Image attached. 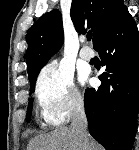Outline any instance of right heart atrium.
<instances>
[{"label":"right heart atrium","instance_id":"1","mask_svg":"<svg viewBox=\"0 0 139 150\" xmlns=\"http://www.w3.org/2000/svg\"><path fill=\"white\" fill-rule=\"evenodd\" d=\"M35 92L41 117L50 126L66 123L83 108L72 72L57 64H50L40 72Z\"/></svg>","mask_w":139,"mask_h":150}]
</instances>
